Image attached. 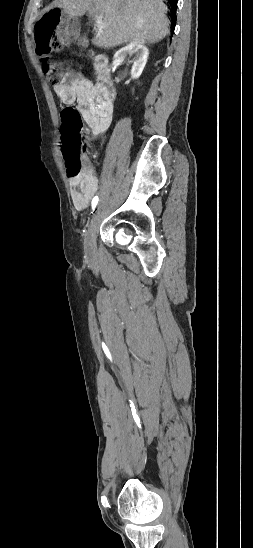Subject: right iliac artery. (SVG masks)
Returning <instances> with one entry per match:
<instances>
[{
	"instance_id": "obj_1",
	"label": "right iliac artery",
	"mask_w": 253,
	"mask_h": 548,
	"mask_svg": "<svg viewBox=\"0 0 253 548\" xmlns=\"http://www.w3.org/2000/svg\"><path fill=\"white\" fill-rule=\"evenodd\" d=\"M98 203V196H95L92 200V209L94 210Z\"/></svg>"
}]
</instances>
